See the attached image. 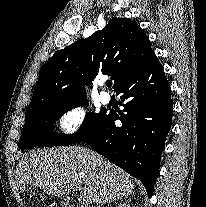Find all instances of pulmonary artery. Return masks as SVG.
I'll use <instances>...</instances> for the list:
<instances>
[{
    "mask_svg": "<svg viewBox=\"0 0 206 207\" xmlns=\"http://www.w3.org/2000/svg\"><path fill=\"white\" fill-rule=\"evenodd\" d=\"M111 100V95L106 92V91H103L100 93V101L103 103V104H108Z\"/></svg>",
    "mask_w": 206,
    "mask_h": 207,
    "instance_id": "pulmonary-artery-1",
    "label": "pulmonary artery"
}]
</instances>
